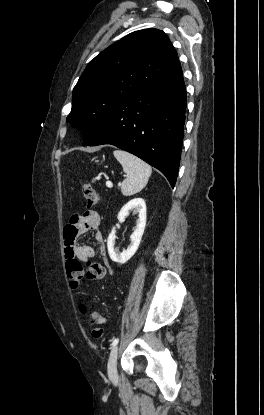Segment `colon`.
<instances>
[{
    "mask_svg": "<svg viewBox=\"0 0 264 415\" xmlns=\"http://www.w3.org/2000/svg\"><path fill=\"white\" fill-rule=\"evenodd\" d=\"M82 192L89 207L95 206L99 201V195L95 188L88 182L82 184ZM85 272L86 277L90 280H100L105 275L104 267L96 262H89L85 268L78 261H70L67 265V274L71 277V285L76 288ZM79 310L86 315L87 323L94 326L92 336L95 339H100L103 335V330L98 326L103 322L102 315L97 311H88L87 305L84 302L79 303Z\"/></svg>",
    "mask_w": 264,
    "mask_h": 415,
    "instance_id": "colon-1",
    "label": "colon"
}]
</instances>
